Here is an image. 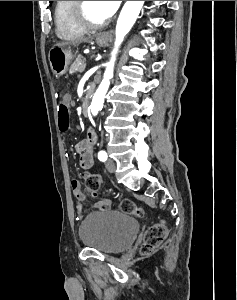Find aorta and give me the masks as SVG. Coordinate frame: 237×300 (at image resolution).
I'll list each match as a JSON object with an SVG mask.
<instances>
[{"label":"aorta","mask_w":237,"mask_h":300,"mask_svg":"<svg viewBox=\"0 0 237 300\" xmlns=\"http://www.w3.org/2000/svg\"><path fill=\"white\" fill-rule=\"evenodd\" d=\"M144 5V1H126L117 21L116 25V39H115V47L112 53V59L110 63L106 65V71L104 73V79L101 81L90 105V111L92 115H98V111L103 109V103L105 99V95L109 89L110 79L113 77L114 71V63L116 61V53L124 41V37H126L127 33L131 31L142 7Z\"/></svg>","instance_id":"obj_1"}]
</instances>
